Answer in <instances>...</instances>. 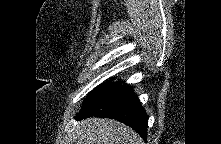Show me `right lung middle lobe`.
<instances>
[{"instance_id":"right-lung-middle-lobe-1","label":"right lung middle lobe","mask_w":221,"mask_h":144,"mask_svg":"<svg viewBox=\"0 0 221 144\" xmlns=\"http://www.w3.org/2000/svg\"><path fill=\"white\" fill-rule=\"evenodd\" d=\"M121 82L117 83H108L99 85L95 91H93L89 96L85 99L83 106L80 111L87 109L91 105H93L96 101H98L101 97H103L107 92L111 91L112 89L116 88L120 85Z\"/></svg>"}]
</instances>
